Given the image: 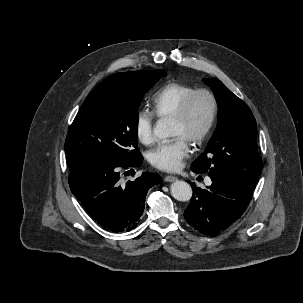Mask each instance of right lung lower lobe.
<instances>
[{"label": "right lung lower lobe", "instance_id": "98d812e1", "mask_svg": "<svg viewBox=\"0 0 303 303\" xmlns=\"http://www.w3.org/2000/svg\"><path fill=\"white\" fill-rule=\"evenodd\" d=\"M143 158L124 164L103 157L76 162L70 170L69 185L90 216L113 232L134 229L144 211L149 188L161 183L159 175L143 172L135 181L121 185L122 168L139 167Z\"/></svg>", "mask_w": 303, "mask_h": 303}]
</instances>
